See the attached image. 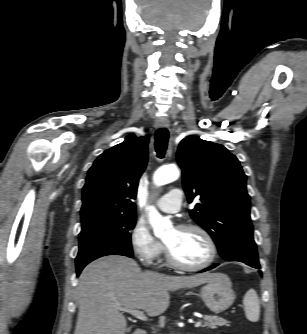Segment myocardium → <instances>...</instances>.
<instances>
[{
  "label": "myocardium",
  "instance_id": "obj_1",
  "mask_svg": "<svg viewBox=\"0 0 307 334\" xmlns=\"http://www.w3.org/2000/svg\"><path fill=\"white\" fill-rule=\"evenodd\" d=\"M178 229L181 230H195L197 232H199L203 238L206 240L208 247H209V256L208 258L197 265H187L184 263H181L180 261H178L175 256L173 255L172 251L170 250V248L168 247V245H166V255H167V259L168 262L170 263V265H172L173 267L183 270V271H198V270H202L205 269L207 267H209L216 259L217 257V246L216 243L214 241V239L212 238V236L210 235V233L203 228L200 225L197 224H193V223H185V224H181Z\"/></svg>",
  "mask_w": 307,
  "mask_h": 334
}]
</instances>
